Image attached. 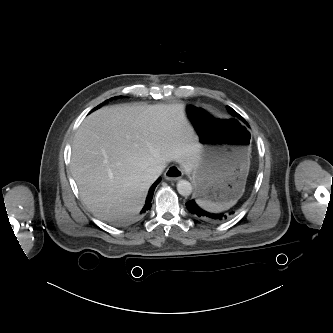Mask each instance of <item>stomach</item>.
I'll use <instances>...</instances> for the list:
<instances>
[{
    "mask_svg": "<svg viewBox=\"0 0 333 333\" xmlns=\"http://www.w3.org/2000/svg\"><path fill=\"white\" fill-rule=\"evenodd\" d=\"M199 143L200 160L192 172L196 197L233 205L242 196L250 167L252 137L243 126L214 116L206 106L186 108Z\"/></svg>",
    "mask_w": 333,
    "mask_h": 333,
    "instance_id": "stomach-1",
    "label": "stomach"
}]
</instances>
